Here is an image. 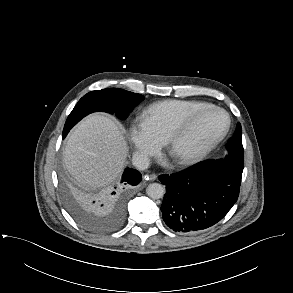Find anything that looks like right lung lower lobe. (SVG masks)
<instances>
[{"mask_svg": "<svg viewBox=\"0 0 293 293\" xmlns=\"http://www.w3.org/2000/svg\"><path fill=\"white\" fill-rule=\"evenodd\" d=\"M141 174L134 169H125L121 184L114 189L100 194L83 195L85 202L91 210L100 215L112 214L115 227L107 231L116 229L123 221L125 215L124 189L130 185L135 186L141 182Z\"/></svg>", "mask_w": 293, "mask_h": 293, "instance_id": "98d812e1", "label": "right lung lower lobe"}]
</instances>
